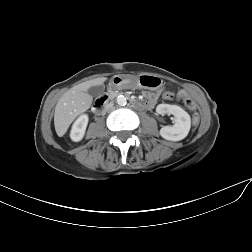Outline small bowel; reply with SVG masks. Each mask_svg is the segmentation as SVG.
I'll return each mask as SVG.
<instances>
[{
    "mask_svg": "<svg viewBox=\"0 0 252 252\" xmlns=\"http://www.w3.org/2000/svg\"><path fill=\"white\" fill-rule=\"evenodd\" d=\"M178 95H181L182 97L187 96V94L184 91L179 92ZM145 96L147 98V102L145 103V107L147 109L154 107L156 100L158 98V93L147 92V93H145Z\"/></svg>",
    "mask_w": 252,
    "mask_h": 252,
    "instance_id": "c3829d8e",
    "label": "small bowel"
}]
</instances>
